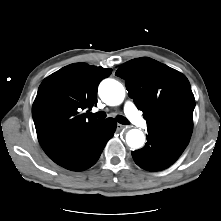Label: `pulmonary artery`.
<instances>
[{
	"mask_svg": "<svg viewBox=\"0 0 221 221\" xmlns=\"http://www.w3.org/2000/svg\"><path fill=\"white\" fill-rule=\"evenodd\" d=\"M124 112L130 121L138 127H146L147 123L144 118L139 114L136 106L132 101H126L124 105Z\"/></svg>",
	"mask_w": 221,
	"mask_h": 221,
	"instance_id": "1",
	"label": "pulmonary artery"
}]
</instances>
